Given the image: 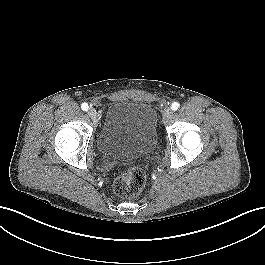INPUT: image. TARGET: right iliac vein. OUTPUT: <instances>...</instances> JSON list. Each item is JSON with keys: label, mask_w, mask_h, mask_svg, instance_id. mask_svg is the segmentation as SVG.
<instances>
[{"label": "right iliac vein", "mask_w": 265, "mask_h": 265, "mask_svg": "<svg viewBox=\"0 0 265 265\" xmlns=\"http://www.w3.org/2000/svg\"><path fill=\"white\" fill-rule=\"evenodd\" d=\"M88 115L90 116V118H91L92 120L96 121V119H97V112H96L95 109L90 108V109L88 110Z\"/></svg>", "instance_id": "obj_1"}]
</instances>
